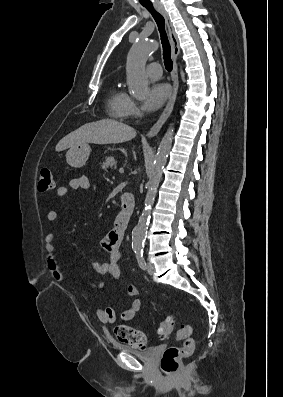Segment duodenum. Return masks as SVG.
I'll return each instance as SVG.
<instances>
[{
	"label": "duodenum",
	"instance_id": "duodenum-1",
	"mask_svg": "<svg viewBox=\"0 0 283 397\" xmlns=\"http://www.w3.org/2000/svg\"><path fill=\"white\" fill-rule=\"evenodd\" d=\"M121 209L117 215L114 226L115 228L124 233L127 229L135 208V198L131 193H124L121 196Z\"/></svg>",
	"mask_w": 283,
	"mask_h": 397
}]
</instances>
